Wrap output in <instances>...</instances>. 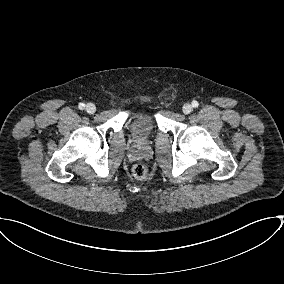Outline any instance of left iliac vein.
I'll return each instance as SVG.
<instances>
[{
	"label": "left iliac vein",
	"instance_id": "obj_1",
	"mask_svg": "<svg viewBox=\"0 0 284 284\" xmlns=\"http://www.w3.org/2000/svg\"><path fill=\"white\" fill-rule=\"evenodd\" d=\"M183 113L184 114H189V113H191L192 112V110H193V107H192V105L191 104H189V103H186V104H184V106H183Z\"/></svg>",
	"mask_w": 284,
	"mask_h": 284
}]
</instances>
